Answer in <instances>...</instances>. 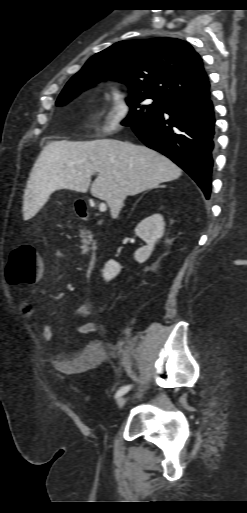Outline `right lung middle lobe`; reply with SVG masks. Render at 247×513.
<instances>
[{
	"instance_id": "1",
	"label": "right lung middle lobe",
	"mask_w": 247,
	"mask_h": 513,
	"mask_svg": "<svg viewBox=\"0 0 247 513\" xmlns=\"http://www.w3.org/2000/svg\"><path fill=\"white\" fill-rule=\"evenodd\" d=\"M96 82H81L75 79H70L61 94L58 97L56 105L62 106L67 102L72 100L75 96H77L81 91L91 87ZM148 98L154 100V102L150 105L144 104V101ZM128 106L131 108L130 114L123 120L122 124L124 126H135L140 124L148 119L152 118L155 114L159 112L165 103L159 98H155L152 96L142 95L136 93L135 91L130 89V98L126 99Z\"/></svg>"
}]
</instances>
